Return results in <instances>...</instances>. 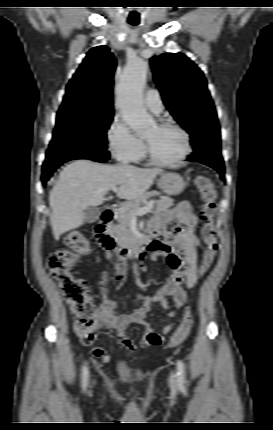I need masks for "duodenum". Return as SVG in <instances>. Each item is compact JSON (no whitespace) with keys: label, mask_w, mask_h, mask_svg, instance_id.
Listing matches in <instances>:
<instances>
[{"label":"duodenum","mask_w":273,"mask_h":430,"mask_svg":"<svg viewBox=\"0 0 273 430\" xmlns=\"http://www.w3.org/2000/svg\"><path fill=\"white\" fill-rule=\"evenodd\" d=\"M116 215V210L108 207L103 211L95 227V235L100 244L110 256H115L121 263H126L146 251L152 250L154 238L152 235H144L135 238L128 245L117 248L114 239L109 232V226Z\"/></svg>","instance_id":"obj_1"}]
</instances>
